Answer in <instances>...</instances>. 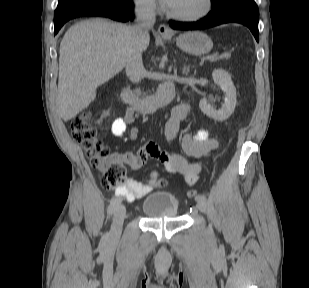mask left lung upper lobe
<instances>
[{"label":"left lung upper lobe","mask_w":309,"mask_h":288,"mask_svg":"<svg viewBox=\"0 0 309 288\" xmlns=\"http://www.w3.org/2000/svg\"><path fill=\"white\" fill-rule=\"evenodd\" d=\"M211 1H212V8H215V7L219 6L220 4H222L226 0H211Z\"/></svg>","instance_id":"5c2ea615"}]
</instances>
